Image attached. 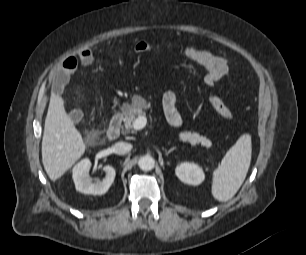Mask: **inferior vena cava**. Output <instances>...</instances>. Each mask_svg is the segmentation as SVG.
I'll return each instance as SVG.
<instances>
[{
    "mask_svg": "<svg viewBox=\"0 0 306 255\" xmlns=\"http://www.w3.org/2000/svg\"><path fill=\"white\" fill-rule=\"evenodd\" d=\"M132 149V145L126 142H117L113 145L114 153L124 155Z\"/></svg>",
    "mask_w": 306,
    "mask_h": 255,
    "instance_id": "inferior-vena-cava-1",
    "label": "inferior vena cava"
}]
</instances>
